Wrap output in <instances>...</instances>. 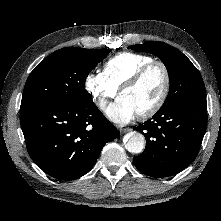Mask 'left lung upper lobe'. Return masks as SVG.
Here are the masks:
<instances>
[{"instance_id": "left-lung-upper-lobe-1", "label": "left lung upper lobe", "mask_w": 221, "mask_h": 221, "mask_svg": "<svg viewBox=\"0 0 221 221\" xmlns=\"http://www.w3.org/2000/svg\"><path fill=\"white\" fill-rule=\"evenodd\" d=\"M128 48L152 53L166 66L170 89L162 107L175 103H206L205 86L199 71L179 50L159 41Z\"/></svg>"}]
</instances>
